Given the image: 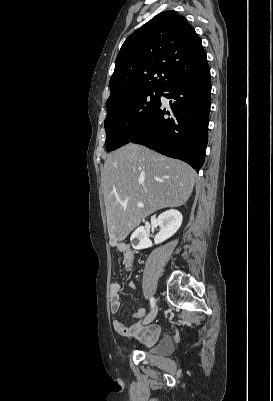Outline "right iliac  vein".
I'll return each mask as SVG.
<instances>
[{
    "instance_id": "63e3f726",
    "label": "right iliac vein",
    "mask_w": 273,
    "mask_h": 401,
    "mask_svg": "<svg viewBox=\"0 0 273 401\" xmlns=\"http://www.w3.org/2000/svg\"><path fill=\"white\" fill-rule=\"evenodd\" d=\"M158 312V305H156L153 310L144 318L143 323L148 324L151 323L157 315Z\"/></svg>"
}]
</instances>
